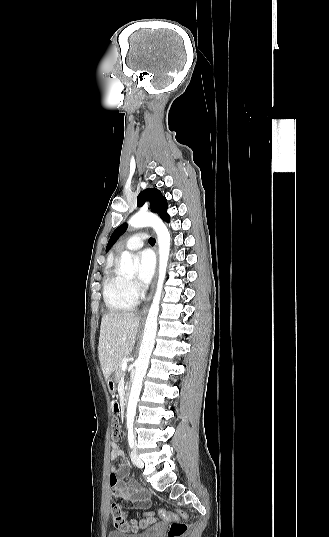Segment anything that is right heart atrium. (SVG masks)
Segmentation results:
<instances>
[{
  "instance_id": "1",
  "label": "right heart atrium",
  "mask_w": 329,
  "mask_h": 537,
  "mask_svg": "<svg viewBox=\"0 0 329 537\" xmlns=\"http://www.w3.org/2000/svg\"><path fill=\"white\" fill-rule=\"evenodd\" d=\"M126 284H127V289H128V291H129V293H130L134 298H136L137 295H138V289H137V287L135 286V284H134L132 281H127Z\"/></svg>"
}]
</instances>
